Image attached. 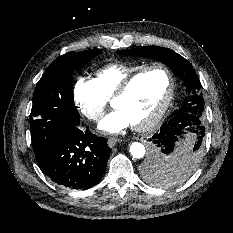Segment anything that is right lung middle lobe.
<instances>
[{"instance_id":"1","label":"right lung middle lobe","mask_w":233,"mask_h":233,"mask_svg":"<svg viewBox=\"0 0 233 233\" xmlns=\"http://www.w3.org/2000/svg\"><path fill=\"white\" fill-rule=\"evenodd\" d=\"M102 50L70 52L53 61L34 91L31 140L40 164L65 127L80 123L73 101L72 70L80 69Z\"/></svg>"}]
</instances>
